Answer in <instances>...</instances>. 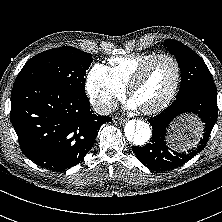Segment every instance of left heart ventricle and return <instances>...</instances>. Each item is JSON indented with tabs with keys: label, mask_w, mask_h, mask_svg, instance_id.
<instances>
[{
	"label": "left heart ventricle",
	"mask_w": 222,
	"mask_h": 222,
	"mask_svg": "<svg viewBox=\"0 0 222 222\" xmlns=\"http://www.w3.org/2000/svg\"><path fill=\"white\" fill-rule=\"evenodd\" d=\"M174 79L173 63L167 59L157 60L149 67L143 80L135 88L132 97L141 108L152 107L169 93Z\"/></svg>",
	"instance_id": "1"
}]
</instances>
